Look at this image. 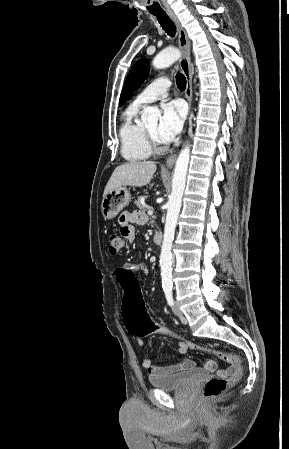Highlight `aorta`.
Instances as JSON below:
<instances>
[{
    "instance_id": "obj_1",
    "label": "aorta",
    "mask_w": 289,
    "mask_h": 449,
    "mask_svg": "<svg viewBox=\"0 0 289 449\" xmlns=\"http://www.w3.org/2000/svg\"><path fill=\"white\" fill-rule=\"evenodd\" d=\"M181 57L177 48H167L161 51L154 59L153 66L156 69L165 68ZM160 111L155 107H145L142 114L143 122L157 121ZM190 161V146L186 144L180 151L172 179V192L167 203V216L164 230L163 243L160 254V267L163 288L172 287L171 250L175 228L182 204V197L186 185V176Z\"/></svg>"
}]
</instances>
